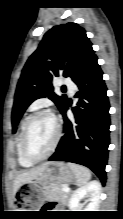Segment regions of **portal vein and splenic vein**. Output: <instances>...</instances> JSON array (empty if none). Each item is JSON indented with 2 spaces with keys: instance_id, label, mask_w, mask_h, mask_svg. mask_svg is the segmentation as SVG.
Returning <instances> with one entry per match:
<instances>
[{
  "instance_id": "obj_1",
  "label": "portal vein and splenic vein",
  "mask_w": 123,
  "mask_h": 219,
  "mask_svg": "<svg viewBox=\"0 0 123 219\" xmlns=\"http://www.w3.org/2000/svg\"><path fill=\"white\" fill-rule=\"evenodd\" d=\"M63 191L66 192V193H68V192H70V188H68V187H63Z\"/></svg>"
}]
</instances>
